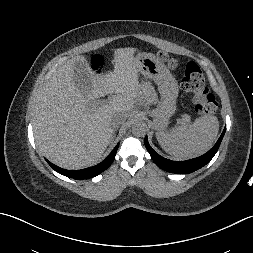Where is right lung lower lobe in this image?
Masks as SVG:
<instances>
[{"mask_svg": "<svg viewBox=\"0 0 253 253\" xmlns=\"http://www.w3.org/2000/svg\"><path fill=\"white\" fill-rule=\"evenodd\" d=\"M118 146H119V143L115 146V148L108 155V157L105 160H103L101 163H99L98 165H95L93 167H89V168L82 169V170H66V169H62V168L52 164L47 159H46V161L55 171H57L58 173H60L64 176L74 178V179L92 178V177L102 173L103 171H105L111 165V163L113 162V160L115 158Z\"/></svg>", "mask_w": 253, "mask_h": 253, "instance_id": "1", "label": "right lung lower lobe"}]
</instances>
